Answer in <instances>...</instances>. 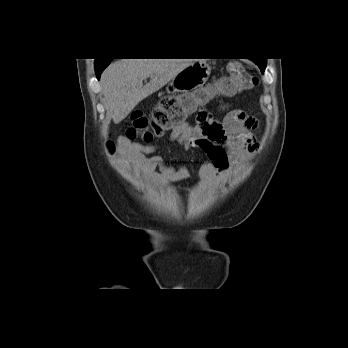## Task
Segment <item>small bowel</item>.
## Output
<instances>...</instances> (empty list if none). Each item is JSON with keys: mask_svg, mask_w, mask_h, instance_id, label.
<instances>
[{"mask_svg": "<svg viewBox=\"0 0 348 348\" xmlns=\"http://www.w3.org/2000/svg\"><path fill=\"white\" fill-rule=\"evenodd\" d=\"M221 110H227L222 121L201 110L196 125H179L169 137L170 141L185 150L199 149L205 154L206 160L199 168L204 187L230 167L234 170L241 167L258 147L254 134L258 128L257 120L242 110L230 109L229 105H223ZM119 149L121 157L143 178L165 183L179 182L189 176L186 166L175 168L165 165L162 157L156 154L159 146L131 144L127 138L121 137Z\"/></svg>", "mask_w": 348, "mask_h": 348, "instance_id": "1", "label": "small bowel"}]
</instances>
